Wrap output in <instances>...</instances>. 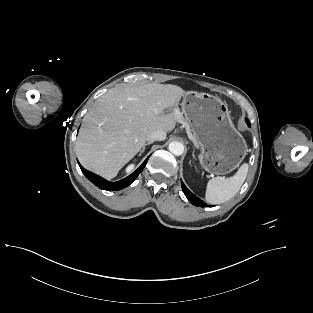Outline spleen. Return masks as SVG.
Segmentation results:
<instances>
[{"mask_svg":"<svg viewBox=\"0 0 313 313\" xmlns=\"http://www.w3.org/2000/svg\"><path fill=\"white\" fill-rule=\"evenodd\" d=\"M248 168V164L244 163L236 174L231 177L210 179L206 187V202L209 204H221L233 198L243 185Z\"/></svg>","mask_w":313,"mask_h":313,"instance_id":"1","label":"spleen"}]
</instances>
